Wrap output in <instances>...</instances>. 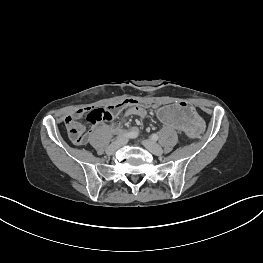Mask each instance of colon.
Returning <instances> with one entry per match:
<instances>
[{"mask_svg":"<svg viewBox=\"0 0 263 263\" xmlns=\"http://www.w3.org/2000/svg\"><path fill=\"white\" fill-rule=\"evenodd\" d=\"M142 102L135 100V99H127L120 103L108 106L105 109L101 108H94L90 109L87 113L86 120L89 124H96L101 121H110L113 116L115 115L116 111L125 105L128 104H139L141 105ZM65 127L69 138L75 144H83L87 140V134L85 131L84 126L76 119L75 116H68L65 119Z\"/></svg>","mask_w":263,"mask_h":263,"instance_id":"5ec220e1","label":"colon"}]
</instances>
